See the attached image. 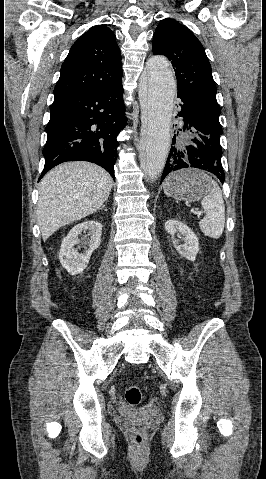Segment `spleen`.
Masks as SVG:
<instances>
[{
  "mask_svg": "<svg viewBox=\"0 0 266 479\" xmlns=\"http://www.w3.org/2000/svg\"><path fill=\"white\" fill-rule=\"evenodd\" d=\"M201 205L206 216L199 222L200 230L209 238H220L225 225V205L222 191L215 181L210 180L208 193L203 197Z\"/></svg>",
  "mask_w": 266,
  "mask_h": 479,
  "instance_id": "3e777b00",
  "label": "spleen"
}]
</instances>
